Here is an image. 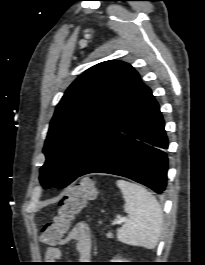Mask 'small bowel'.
Returning a JSON list of instances; mask_svg holds the SVG:
<instances>
[{"instance_id": "small-bowel-1", "label": "small bowel", "mask_w": 205, "mask_h": 265, "mask_svg": "<svg viewBox=\"0 0 205 265\" xmlns=\"http://www.w3.org/2000/svg\"><path fill=\"white\" fill-rule=\"evenodd\" d=\"M74 242L80 261H89L92 253V233L87 223L81 221L76 223L68 232L60 245ZM62 258V250L58 246L49 247L45 252V260L55 262Z\"/></svg>"}]
</instances>
